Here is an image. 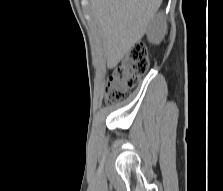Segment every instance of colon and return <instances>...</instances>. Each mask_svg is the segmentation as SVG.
<instances>
[{
  "label": "colon",
  "instance_id": "5ec220e1",
  "mask_svg": "<svg viewBox=\"0 0 223 191\" xmlns=\"http://www.w3.org/2000/svg\"><path fill=\"white\" fill-rule=\"evenodd\" d=\"M149 66L146 48L143 45L134 46L110 74L106 86V102L113 104L125 98L137 87L139 78L148 72Z\"/></svg>",
  "mask_w": 223,
  "mask_h": 191
}]
</instances>
